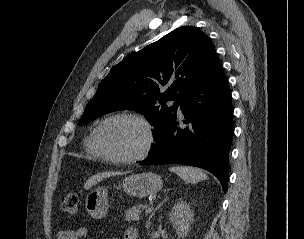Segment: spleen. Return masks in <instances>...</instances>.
Returning <instances> with one entry per match:
<instances>
[{"mask_svg":"<svg viewBox=\"0 0 304 239\" xmlns=\"http://www.w3.org/2000/svg\"><path fill=\"white\" fill-rule=\"evenodd\" d=\"M169 170L192 184L207 179V175L201 169L191 166H173Z\"/></svg>","mask_w":304,"mask_h":239,"instance_id":"spleen-1","label":"spleen"}]
</instances>
